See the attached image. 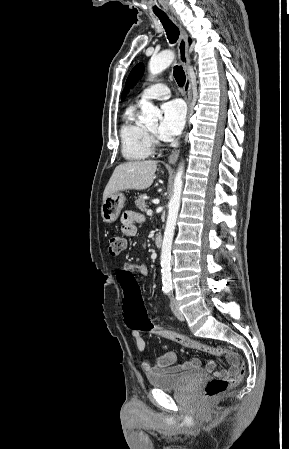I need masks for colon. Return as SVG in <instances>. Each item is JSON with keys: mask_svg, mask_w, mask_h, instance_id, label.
Here are the masks:
<instances>
[{"mask_svg": "<svg viewBox=\"0 0 289 449\" xmlns=\"http://www.w3.org/2000/svg\"><path fill=\"white\" fill-rule=\"evenodd\" d=\"M127 246L126 239L119 235L113 234L109 237V252L111 255L117 256L121 254ZM118 284L123 292L122 304L125 309V320L127 326L134 331L140 333H153L158 336L185 343L189 348L203 351L216 356H228V352L219 348L209 346L207 344L192 340L182 334L169 330L158 324L153 323L146 312L137 288V280L130 268H119L116 273ZM245 369L240 363L238 371L229 377L220 376L215 373L204 388L206 398H214L224 393L228 389L236 386L244 377Z\"/></svg>", "mask_w": 289, "mask_h": 449, "instance_id": "colon-1", "label": "colon"}]
</instances>
